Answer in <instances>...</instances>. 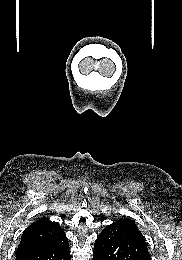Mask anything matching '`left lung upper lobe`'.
Here are the masks:
<instances>
[{"mask_svg":"<svg viewBox=\"0 0 182 260\" xmlns=\"http://www.w3.org/2000/svg\"><path fill=\"white\" fill-rule=\"evenodd\" d=\"M110 226L125 229V230L131 231V232L136 233V234L140 235L141 237H143L142 233L139 231V229L137 228L135 223L130 219L117 220L115 223L111 224Z\"/></svg>","mask_w":182,"mask_h":260,"instance_id":"obj_1","label":"left lung upper lobe"}]
</instances>
